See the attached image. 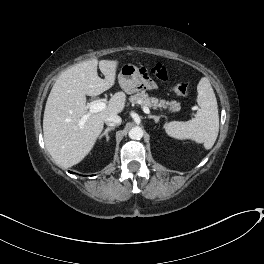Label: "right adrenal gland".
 Returning <instances> with one entry per match:
<instances>
[{
  "label": "right adrenal gland",
  "instance_id": "1",
  "mask_svg": "<svg viewBox=\"0 0 264 264\" xmlns=\"http://www.w3.org/2000/svg\"><path fill=\"white\" fill-rule=\"evenodd\" d=\"M115 128L114 127H109V128H106L105 131L99 136V139H101L103 136L106 137V141L108 142L109 141V135H108V132L114 130Z\"/></svg>",
  "mask_w": 264,
  "mask_h": 264
}]
</instances>
